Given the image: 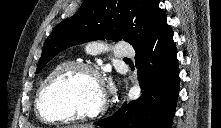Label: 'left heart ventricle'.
Returning a JSON list of instances; mask_svg holds the SVG:
<instances>
[{"instance_id": "left-heart-ventricle-1", "label": "left heart ventricle", "mask_w": 221, "mask_h": 128, "mask_svg": "<svg viewBox=\"0 0 221 128\" xmlns=\"http://www.w3.org/2000/svg\"><path fill=\"white\" fill-rule=\"evenodd\" d=\"M102 99L103 89L95 77L85 71H75L49 87L43 109L49 115H76L98 108Z\"/></svg>"}]
</instances>
